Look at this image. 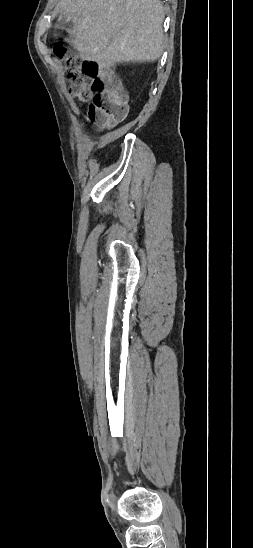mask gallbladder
Instances as JSON below:
<instances>
[{"mask_svg":"<svg viewBox=\"0 0 253 548\" xmlns=\"http://www.w3.org/2000/svg\"><path fill=\"white\" fill-rule=\"evenodd\" d=\"M69 20L67 15H62L59 19L60 24H65Z\"/></svg>","mask_w":253,"mask_h":548,"instance_id":"1","label":"gallbladder"}]
</instances>
